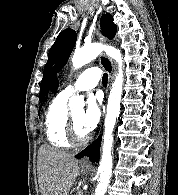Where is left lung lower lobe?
Instances as JSON below:
<instances>
[{"label":"left lung lower lobe","mask_w":178,"mask_h":195,"mask_svg":"<svg viewBox=\"0 0 178 195\" xmlns=\"http://www.w3.org/2000/svg\"><path fill=\"white\" fill-rule=\"evenodd\" d=\"M100 144H101V137H99L92 145L88 146L85 150L77 154L76 158H83L85 155L90 157L92 162H98L100 156Z\"/></svg>","instance_id":"left-lung-lower-lobe-1"}]
</instances>
